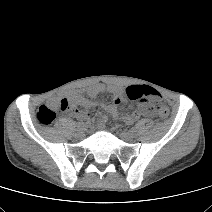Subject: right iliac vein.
<instances>
[{"mask_svg":"<svg viewBox=\"0 0 212 212\" xmlns=\"http://www.w3.org/2000/svg\"><path fill=\"white\" fill-rule=\"evenodd\" d=\"M83 129H77L76 131H75V136L76 137H82L83 136Z\"/></svg>","mask_w":212,"mask_h":212,"instance_id":"right-iliac-vein-1","label":"right iliac vein"}]
</instances>
